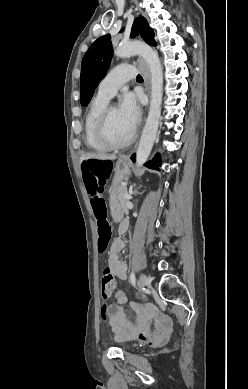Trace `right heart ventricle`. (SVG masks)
Here are the masks:
<instances>
[{
	"instance_id": "right-heart-ventricle-1",
	"label": "right heart ventricle",
	"mask_w": 248,
	"mask_h": 389,
	"mask_svg": "<svg viewBox=\"0 0 248 389\" xmlns=\"http://www.w3.org/2000/svg\"><path fill=\"white\" fill-rule=\"evenodd\" d=\"M109 99L97 94L91 101L84 121V139L85 144L93 150L106 151L104 146L97 138L96 130L101 113L108 104Z\"/></svg>"
}]
</instances>
